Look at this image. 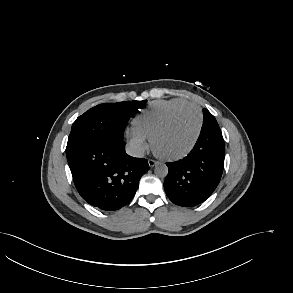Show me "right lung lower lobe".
<instances>
[{
  "instance_id": "98d812e1",
  "label": "right lung lower lobe",
  "mask_w": 293,
  "mask_h": 293,
  "mask_svg": "<svg viewBox=\"0 0 293 293\" xmlns=\"http://www.w3.org/2000/svg\"><path fill=\"white\" fill-rule=\"evenodd\" d=\"M123 138L103 137L67 153L75 187L90 205L118 210L134 197L146 159L126 154Z\"/></svg>"
}]
</instances>
